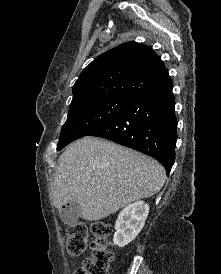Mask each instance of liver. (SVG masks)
<instances>
[{"instance_id":"liver-1","label":"liver","mask_w":221,"mask_h":274,"mask_svg":"<svg viewBox=\"0 0 221 274\" xmlns=\"http://www.w3.org/2000/svg\"><path fill=\"white\" fill-rule=\"evenodd\" d=\"M166 179L156 160L113 142L84 137L59 158L52 183L57 209L76 200L80 216L97 221L124 206L157 194Z\"/></svg>"}]
</instances>
